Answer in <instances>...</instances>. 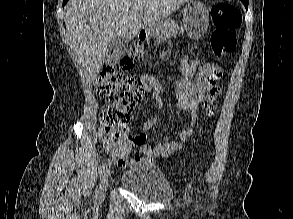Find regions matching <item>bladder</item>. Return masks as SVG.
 I'll use <instances>...</instances> for the list:
<instances>
[{
    "mask_svg": "<svg viewBox=\"0 0 293 219\" xmlns=\"http://www.w3.org/2000/svg\"><path fill=\"white\" fill-rule=\"evenodd\" d=\"M122 186L146 203L163 204L173 198V189L163 173L156 167H132L121 175Z\"/></svg>",
    "mask_w": 293,
    "mask_h": 219,
    "instance_id": "obj_1",
    "label": "bladder"
}]
</instances>
